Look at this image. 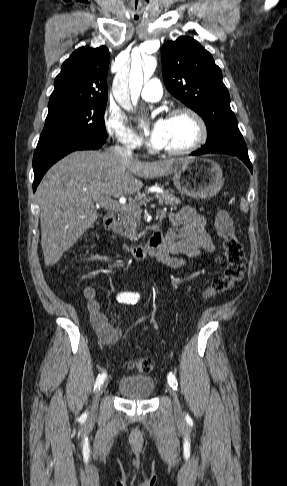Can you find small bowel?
Listing matches in <instances>:
<instances>
[{"label": "small bowel", "instance_id": "obj_1", "mask_svg": "<svg viewBox=\"0 0 287 486\" xmlns=\"http://www.w3.org/2000/svg\"><path fill=\"white\" fill-rule=\"evenodd\" d=\"M165 215L164 211L159 212L160 218H164ZM168 217L172 226L163 235L161 248L152 256L157 262L171 269H182L185 263L172 255L198 256L204 251H215L212 237L206 228V220L193 207L185 206L178 212L169 213ZM83 296L86 299L92 327L99 340L103 344H115L121 338V330L113 326L101 310L96 290L86 286Z\"/></svg>", "mask_w": 287, "mask_h": 486}]
</instances>
